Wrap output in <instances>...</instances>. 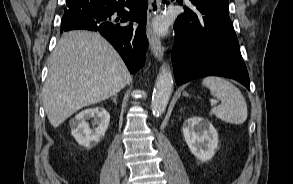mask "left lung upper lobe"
Listing matches in <instances>:
<instances>
[{"mask_svg": "<svg viewBox=\"0 0 293 184\" xmlns=\"http://www.w3.org/2000/svg\"><path fill=\"white\" fill-rule=\"evenodd\" d=\"M210 2L211 5L224 7L228 10V0H204Z\"/></svg>", "mask_w": 293, "mask_h": 184, "instance_id": "1", "label": "left lung upper lobe"}]
</instances>
